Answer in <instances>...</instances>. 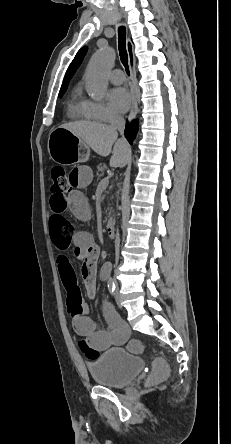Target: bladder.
Segmentation results:
<instances>
[{
	"instance_id": "obj_1",
	"label": "bladder",
	"mask_w": 231,
	"mask_h": 444,
	"mask_svg": "<svg viewBox=\"0 0 231 444\" xmlns=\"http://www.w3.org/2000/svg\"><path fill=\"white\" fill-rule=\"evenodd\" d=\"M143 367L142 359L124 347L107 350L87 363L93 379L99 385L112 388L131 383Z\"/></svg>"
}]
</instances>
